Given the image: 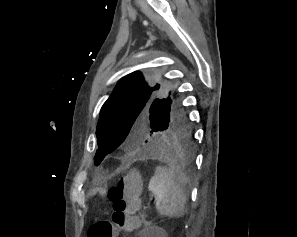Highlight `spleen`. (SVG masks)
<instances>
[{
  "label": "spleen",
  "instance_id": "spleen-1",
  "mask_svg": "<svg viewBox=\"0 0 297 237\" xmlns=\"http://www.w3.org/2000/svg\"><path fill=\"white\" fill-rule=\"evenodd\" d=\"M155 196L156 209L160 215L179 218L184 215L186 195L185 182L176 176L174 169L158 167L148 185Z\"/></svg>",
  "mask_w": 297,
  "mask_h": 237
}]
</instances>
